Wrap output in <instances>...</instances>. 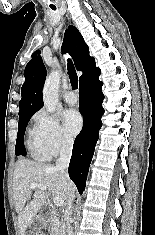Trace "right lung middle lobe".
Listing matches in <instances>:
<instances>
[{"label": "right lung middle lobe", "mask_w": 155, "mask_h": 235, "mask_svg": "<svg viewBox=\"0 0 155 235\" xmlns=\"http://www.w3.org/2000/svg\"><path fill=\"white\" fill-rule=\"evenodd\" d=\"M33 114L26 115L23 117L19 118V124H18V137L16 140V146H15V154L18 155H26V150L24 147V133H25V128L32 117Z\"/></svg>", "instance_id": "right-lung-middle-lobe-1"}]
</instances>
